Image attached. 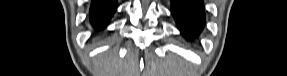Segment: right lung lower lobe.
<instances>
[{"label": "right lung lower lobe", "instance_id": "obj_1", "mask_svg": "<svg viewBox=\"0 0 287 76\" xmlns=\"http://www.w3.org/2000/svg\"><path fill=\"white\" fill-rule=\"evenodd\" d=\"M116 7V0H93L90 8V19L93 27L98 30L105 28Z\"/></svg>", "mask_w": 287, "mask_h": 76}]
</instances>
